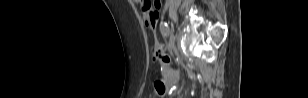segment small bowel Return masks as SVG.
<instances>
[{"mask_svg": "<svg viewBox=\"0 0 308 98\" xmlns=\"http://www.w3.org/2000/svg\"><path fill=\"white\" fill-rule=\"evenodd\" d=\"M137 2L142 6V9L144 10L146 7V1L137 0ZM163 74L166 80L172 78L173 76L172 71L167 67L164 68Z\"/></svg>", "mask_w": 308, "mask_h": 98, "instance_id": "obj_1", "label": "small bowel"}]
</instances>
